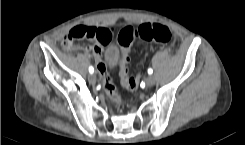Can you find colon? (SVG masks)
<instances>
[{
    "label": "colon",
    "mask_w": 245,
    "mask_h": 145,
    "mask_svg": "<svg viewBox=\"0 0 245 145\" xmlns=\"http://www.w3.org/2000/svg\"><path fill=\"white\" fill-rule=\"evenodd\" d=\"M112 32L114 33L115 29H113ZM104 33V31H96L92 27L78 25L70 29L64 39V44L69 45L73 41L78 40L93 41L96 37L103 35ZM117 40L120 47L118 75L127 90L135 92L138 88L140 75L138 74L134 77L128 76L127 65L130 60V50L134 48L135 43L138 40L168 44L172 40V32L167 26L159 23H144L139 27H125L118 33ZM98 69L102 77L105 93L117 104L119 109H123L125 107V103L116 94L109 73L106 72L105 67Z\"/></svg>",
    "instance_id": "1"
}]
</instances>
